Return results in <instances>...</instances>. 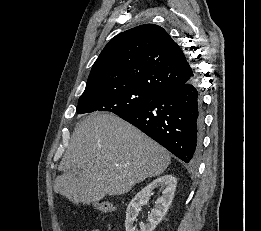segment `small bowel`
<instances>
[{
  "label": "small bowel",
  "instance_id": "c3829d8e",
  "mask_svg": "<svg viewBox=\"0 0 261 231\" xmlns=\"http://www.w3.org/2000/svg\"><path fill=\"white\" fill-rule=\"evenodd\" d=\"M83 231H100L98 228H85Z\"/></svg>",
  "mask_w": 261,
  "mask_h": 231
}]
</instances>
